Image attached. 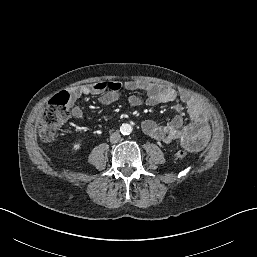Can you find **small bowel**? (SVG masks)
I'll return each instance as SVG.
<instances>
[{"label": "small bowel", "mask_w": 257, "mask_h": 257, "mask_svg": "<svg viewBox=\"0 0 257 257\" xmlns=\"http://www.w3.org/2000/svg\"><path fill=\"white\" fill-rule=\"evenodd\" d=\"M124 90H139L146 95L145 99L137 95L130 96L128 98L130 106L136 107L143 103L155 106L173 102L179 98L186 107L191 118L188 125H184L183 118L180 115L173 117L165 125H159L154 120L147 119L142 123V129L147 136L165 143L177 142L189 151H197L208 142L210 138L208 117L197 100L187 94L178 95L171 87L145 80L127 81L125 83L100 81L73 87L70 92V113L73 118L82 120L84 114L81 106L77 104L78 99L87 95H98V102L106 106L117 102Z\"/></svg>", "instance_id": "c3829d8e"}]
</instances>
